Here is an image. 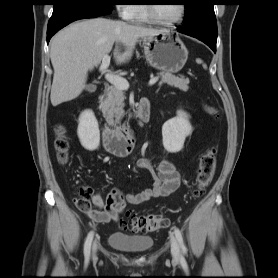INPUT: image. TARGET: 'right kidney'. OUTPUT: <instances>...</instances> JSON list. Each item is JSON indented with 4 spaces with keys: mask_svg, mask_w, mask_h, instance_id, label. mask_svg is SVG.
Returning a JSON list of instances; mask_svg holds the SVG:
<instances>
[{
    "mask_svg": "<svg viewBox=\"0 0 278 278\" xmlns=\"http://www.w3.org/2000/svg\"><path fill=\"white\" fill-rule=\"evenodd\" d=\"M81 145L88 151H94L100 144V131L92 110H85L79 117L77 129Z\"/></svg>",
    "mask_w": 278,
    "mask_h": 278,
    "instance_id": "obj_1",
    "label": "right kidney"
}]
</instances>
